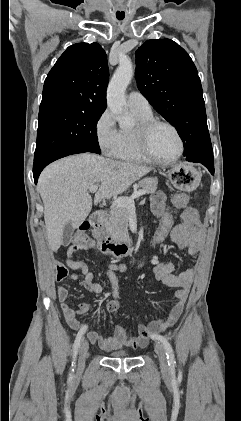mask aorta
<instances>
[{"label": "aorta", "instance_id": "762f6f07", "mask_svg": "<svg viewBox=\"0 0 241 421\" xmlns=\"http://www.w3.org/2000/svg\"><path fill=\"white\" fill-rule=\"evenodd\" d=\"M134 74L132 63L128 59L120 61L107 89V105L116 115L120 127H128L133 123L132 118L124 114L126 105L125 91Z\"/></svg>", "mask_w": 241, "mask_h": 421}]
</instances>
